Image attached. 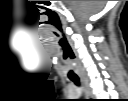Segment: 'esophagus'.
Instances as JSON below:
<instances>
[{
    "label": "esophagus",
    "instance_id": "34e87169",
    "mask_svg": "<svg viewBox=\"0 0 128 101\" xmlns=\"http://www.w3.org/2000/svg\"><path fill=\"white\" fill-rule=\"evenodd\" d=\"M83 83H84V88H85V96L86 98L90 99L93 97L92 91L88 85V82L86 79H83Z\"/></svg>",
    "mask_w": 128,
    "mask_h": 101
}]
</instances>
